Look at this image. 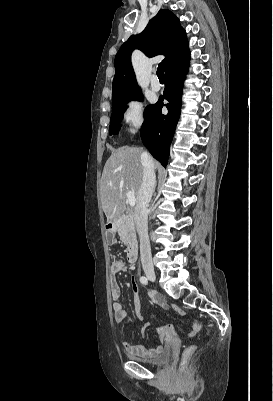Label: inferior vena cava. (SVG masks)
I'll list each match as a JSON object with an SVG mask.
<instances>
[{
    "mask_svg": "<svg viewBox=\"0 0 273 401\" xmlns=\"http://www.w3.org/2000/svg\"><path fill=\"white\" fill-rule=\"evenodd\" d=\"M143 176L138 190V203L135 207L134 221L140 241V255L142 261L151 259V249L148 237V205L151 201L155 184L153 160L148 152L141 154Z\"/></svg>",
    "mask_w": 273,
    "mask_h": 401,
    "instance_id": "1",
    "label": "inferior vena cava"
}]
</instances>
